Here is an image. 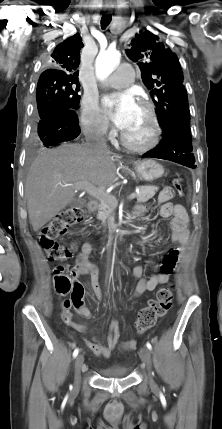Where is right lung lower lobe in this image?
<instances>
[{"label": "right lung lower lobe", "instance_id": "1", "mask_svg": "<svg viewBox=\"0 0 222 429\" xmlns=\"http://www.w3.org/2000/svg\"><path fill=\"white\" fill-rule=\"evenodd\" d=\"M79 134L78 118L73 109L54 105L40 116L38 135L46 147L73 140Z\"/></svg>", "mask_w": 222, "mask_h": 429}]
</instances>
